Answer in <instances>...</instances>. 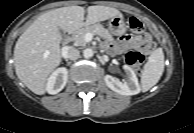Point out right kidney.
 I'll return each mask as SVG.
<instances>
[{
	"label": "right kidney",
	"instance_id": "1",
	"mask_svg": "<svg viewBox=\"0 0 194 133\" xmlns=\"http://www.w3.org/2000/svg\"><path fill=\"white\" fill-rule=\"evenodd\" d=\"M68 80V71L66 68H58L48 78L46 90L49 94L59 93L66 85Z\"/></svg>",
	"mask_w": 194,
	"mask_h": 133
}]
</instances>
